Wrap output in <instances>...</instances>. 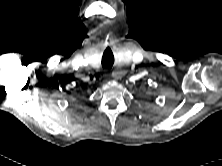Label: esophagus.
I'll list each match as a JSON object with an SVG mask.
<instances>
[{
	"instance_id": "esophagus-1",
	"label": "esophagus",
	"mask_w": 222,
	"mask_h": 166,
	"mask_svg": "<svg viewBox=\"0 0 222 166\" xmlns=\"http://www.w3.org/2000/svg\"><path fill=\"white\" fill-rule=\"evenodd\" d=\"M123 73L122 72H113L112 76L116 79H120L122 77ZM108 74H105L104 77H108Z\"/></svg>"
}]
</instances>
